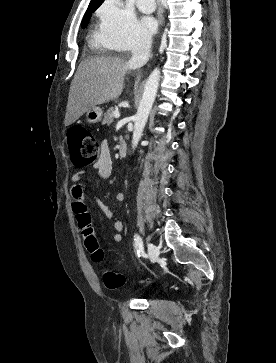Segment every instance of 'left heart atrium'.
<instances>
[{"instance_id":"left-heart-atrium-1","label":"left heart atrium","mask_w":276,"mask_h":363,"mask_svg":"<svg viewBox=\"0 0 276 363\" xmlns=\"http://www.w3.org/2000/svg\"><path fill=\"white\" fill-rule=\"evenodd\" d=\"M141 26L146 34H153L157 30V20L153 16H143L141 18Z\"/></svg>"}]
</instances>
